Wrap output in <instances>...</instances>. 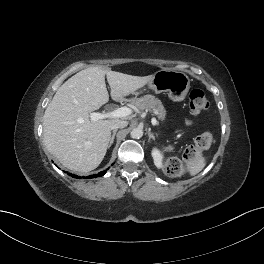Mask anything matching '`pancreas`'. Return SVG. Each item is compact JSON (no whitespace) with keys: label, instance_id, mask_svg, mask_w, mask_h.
Segmentation results:
<instances>
[{"label":"pancreas","instance_id":"1","mask_svg":"<svg viewBox=\"0 0 264 264\" xmlns=\"http://www.w3.org/2000/svg\"><path fill=\"white\" fill-rule=\"evenodd\" d=\"M130 103L134 109L155 112L159 120L163 121L166 118V110L162 102L153 95L148 94L140 98H133Z\"/></svg>","mask_w":264,"mask_h":264}]
</instances>
